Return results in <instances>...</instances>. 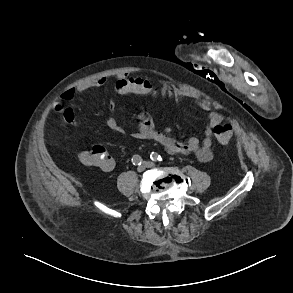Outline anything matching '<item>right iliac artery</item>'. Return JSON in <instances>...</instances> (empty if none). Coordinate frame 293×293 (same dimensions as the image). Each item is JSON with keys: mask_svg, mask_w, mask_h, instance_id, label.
<instances>
[{"mask_svg": "<svg viewBox=\"0 0 293 293\" xmlns=\"http://www.w3.org/2000/svg\"><path fill=\"white\" fill-rule=\"evenodd\" d=\"M131 160L133 165H141L142 163V158L139 155H134Z\"/></svg>", "mask_w": 293, "mask_h": 293, "instance_id": "obj_1", "label": "right iliac artery"}]
</instances>
